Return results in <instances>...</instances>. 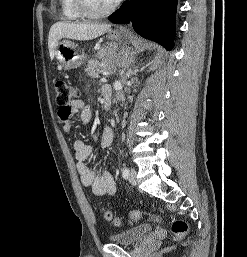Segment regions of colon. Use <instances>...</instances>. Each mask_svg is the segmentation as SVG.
<instances>
[{"label": "colon", "mask_w": 247, "mask_h": 257, "mask_svg": "<svg viewBox=\"0 0 247 257\" xmlns=\"http://www.w3.org/2000/svg\"><path fill=\"white\" fill-rule=\"evenodd\" d=\"M56 103L60 107L59 110L66 111L69 106L77 100L79 96L78 89L64 81H59L56 83ZM103 218L113 223L115 226H120L122 220L113 215L109 210H102ZM140 219V213L138 211H132L128 216V221L130 223H135ZM171 231L176 239L183 238L188 232V224L183 219H174L171 222Z\"/></svg>", "instance_id": "5ec220e1"}]
</instances>
